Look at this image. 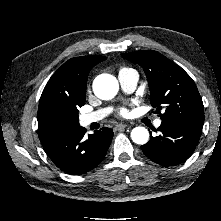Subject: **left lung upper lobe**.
<instances>
[{
  "mask_svg": "<svg viewBox=\"0 0 221 221\" xmlns=\"http://www.w3.org/2000/svg\"><path fill=\"white\" fill-rule=\"evenodd\" d=\"M122 56L144 69L147 76L151 105L163 110L162 121H194L204 123V108L191 77L178 65L157 51L142 50Z\"/></svg>",
  "mask_w": 221,
  "mask_h": 221,
  "instance_id": "1",
  "label": "left lung upper lobe"
}]
</instances>
